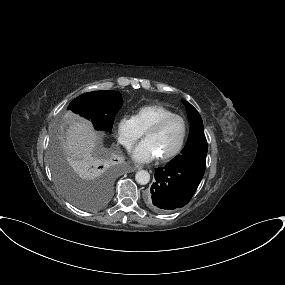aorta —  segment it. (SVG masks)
Segmentation results:
<instances>
[{
  "label": "aorta",
  "mask_w": 285,
  "mask_h": 285,
  "mask_svg": "<svg viewBox=\"0 0 285 285\" xmlns=\"http://www.w3.org/2000/svg\"><path fill=\"white\" fill-rule=\"evenodd\" d=\"M135 180L138 184L146 185L150 181V174L146 170H140L136 173Z\"/></svg>",
  "instance_id": "1"
}]
</instances>
